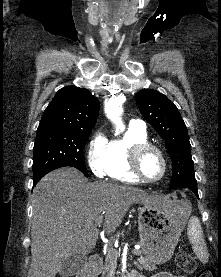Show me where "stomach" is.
Returning a JSON list of instances; mask_svg holds the SVG:
<instances>
[{"label":"stomach","instance_id":"1","mask_svg":"<svg viewBox=\"0 0 221 277\" xmlns=\"http://www.w3.org/2000/svg\"><path fill=\"white\" fill-rule=\"evenodd\" d=\"M190 205L166 200V206L138 208V230L144 258L151 264L170 260L189 217Z\"/></svg>","mask_w":221,"mask_h":277}]
</instances>
